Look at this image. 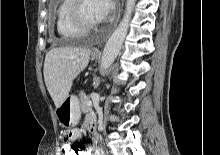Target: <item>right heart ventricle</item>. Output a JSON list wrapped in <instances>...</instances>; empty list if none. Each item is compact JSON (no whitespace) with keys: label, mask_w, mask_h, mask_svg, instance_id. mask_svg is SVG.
I'll return each mask as SVG.
<instances>
[{"label":"right heart ventricle","mask_w":220,"mask_h":155,"mask_svg":"<svg viewBox=\"0 0 220 155\" xmlns=\"http://www.w3.org/2000/svg\"><path fill=\"white\" fill-rule=\"evenodd\" d=\"M72 0H60L56 10L57 33L66 39H76L84 36L85 31L75 27L69 19V8Z\"/></svg>","instance_id":"e07e8e85"}]
</instances>
